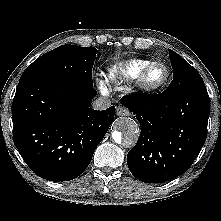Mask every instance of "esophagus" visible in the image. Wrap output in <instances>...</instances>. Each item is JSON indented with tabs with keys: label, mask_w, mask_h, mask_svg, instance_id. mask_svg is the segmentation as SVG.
<instances>
[{
	"label": "esophagus",
	"mask_w": 221,
	"mask_h": 221,
	"mask_svg": "<svg viewBox=\"0 0 221 221\" xmlns=\"http://www.w3.org/2000/svg\"><path fill=\"white\" fill-rule=\"evenodd\" d=\"M116 114L118 116H128L130 113H129V110L123 106H118L117 109H116Z\"/></svg>",
	"instance_id": "esophagus-1"
}]
</instances>
